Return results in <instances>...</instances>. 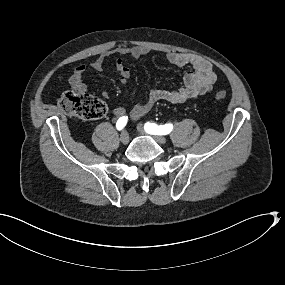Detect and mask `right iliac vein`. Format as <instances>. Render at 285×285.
Instances as JSON below:
<instances>
[{"instance_id": "63e3f726", "label": "right iliac vein", "mask_w": 285, "mask_h": 285, "mask_svg": "<svg viewBox=\"0 0 285 285\" xmlns=\"http://www.w3.org/2000/svg\"><path fill=\"white\" fill-rule=\"evenodd\" d=\"M129 134L127 131H123L121 136H120V141L123 143V144H128L129 142Z\"/></svg>"}]
</instances>
